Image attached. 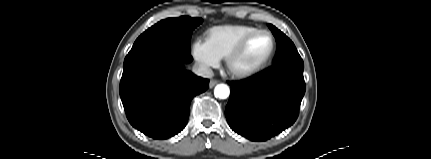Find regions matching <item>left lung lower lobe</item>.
<instances>
[{"label":"left lung lower lobe","instance_id":"0a47b994","mask_svg":"<svg viewBox=\"0 0 431 159\" xmlns=\"http://www.w3.org/2000/svg\"><path fill=\"white\" fill-rule=\"evenodd\" d=\"M303 63L284 62L245 80L228 82L230 128L251 141H266L296 121L305 94Z\"/></svg>","mask_w":431,"mask_h":159}]
</instances>
